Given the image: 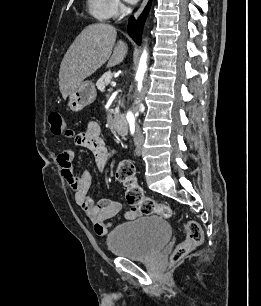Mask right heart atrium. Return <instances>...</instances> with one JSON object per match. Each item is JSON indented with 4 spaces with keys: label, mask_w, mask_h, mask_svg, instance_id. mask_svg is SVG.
<instances>
[{
    "label": "right heart atrium",
    "mask_w": 261,
    "mask_h": 306,
    "mask_svg": "<svg viewBox=\"0 0 261 306\" xmlns=\"http://www.w3.org/2000/svg\"><path fill=\"white\" fill-rule=\"evenodd\" d=\"M109 1V14L110 17L118 15L122 10L120 0H108Z\"/></svg>",
    "instance_id": "right-heart-atrium-1"
}]
</instances>
